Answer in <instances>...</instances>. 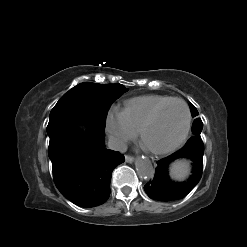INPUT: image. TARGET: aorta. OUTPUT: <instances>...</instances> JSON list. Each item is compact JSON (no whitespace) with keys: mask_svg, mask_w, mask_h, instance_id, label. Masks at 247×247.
Returning <instances> with one entry per match:
<instances>
[{"mask_svg":"<svg viewBox=\"0 0 247 247\" xmlns=\"http://www.w3.org/2000/svg\"><path fill=\"white\" fill-rule=\"evenodd\" d=\"M137 174L144 180H151L155 175L154 167L147 158H138L135 163Z\"/></svg>","mask_w":247,"mask_h":247,"instance_id":"762f6f07","label":"aorta"}]
</instances>
